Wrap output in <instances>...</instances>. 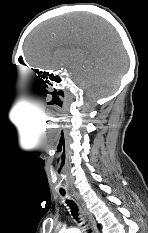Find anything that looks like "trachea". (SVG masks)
I'll return each instance as SVG.
<instances>
[{
  "label": "trachea",
  "mask_w": 148,
  "mask_h": 233,
  "mask_svg": "<svg viewBox=\"0 0 148 233\" xmlns=\"http://www.w3.org/2000/svg\"><path fill=\"white\" fill-rule=\"evenodd\" d=\"M62 195H65V192L64 191H61L60 192ZM67 205L70 206L71 208V213L73 215V218L76 219L78 222H80V217H79V209L78 207L76 206V204L71 201V200H67L66 201ZM88 233H91V229H88Z\"/></svg>",
  "instance_id": "obj_1"
}]
</instances>
